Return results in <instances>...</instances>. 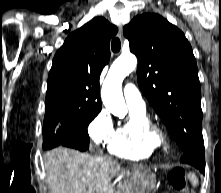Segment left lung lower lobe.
<instances>
[{"label": "left lung lower lobe", "mask_w": 221, "mask_h": 193, "mask_svg": "<svg viewBox=\"0 0 221 193\" xmlns=\"http://www.w3.org/2000/svg\"><path fill=\"white\" fill-rule=\"evenodd\" d=\"M181 162L190 164L199 169L200 172L205 171L204 146L197 147L193 150L185 151L181 157Z\"/></svg>", "instance_id": "0a47b994"}]
</instances>
